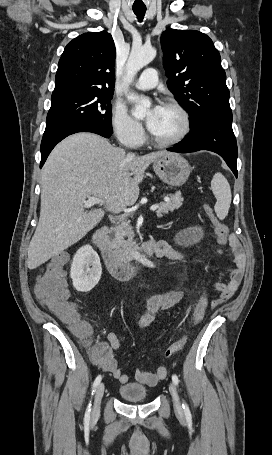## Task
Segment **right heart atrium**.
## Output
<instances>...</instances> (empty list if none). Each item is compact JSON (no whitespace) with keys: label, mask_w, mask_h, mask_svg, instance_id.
Returning <instances> with one entry per match:
<instances>
[{"label":"right heart atrium","mask_w":272,"mask_h":455,"mask_svg":"<svg viewBox=\"0 0 272 455\" xmlns=\"http://www.w3.org/2000/svg\"><path fill=\"white\" fill-rule=\"evenodd\" d=\"M111 127L117 140L127 147L141 145L145 138L142 125L136 121L121 104H114L111 110Z\"/></svg>","instance_id":"obj_1"}]
</instances>
